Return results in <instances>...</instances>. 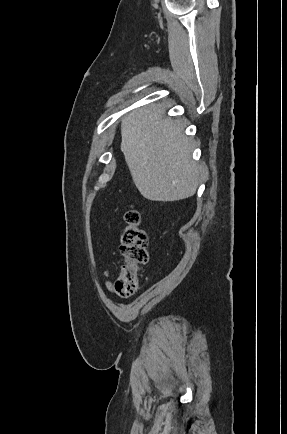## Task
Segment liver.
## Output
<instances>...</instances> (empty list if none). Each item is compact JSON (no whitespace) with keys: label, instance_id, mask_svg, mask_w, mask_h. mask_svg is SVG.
Listing matches in <instances>:
<instances>
[{"label":"liver","instance_id":"1","mask_svg":"<svg viewBox=\"0 0 287 434\" xmlns=\"http://www.w3.org/2000/svg\"><path fill=\"white\" fill-rule=\"evenodd\" d=\"M121 135L126 163L144 198L172 202L196 193L200 169L180 122L152 104L123 117Z\"/></svg>","mask_w":287,"mask_h":434}]
</instances>
